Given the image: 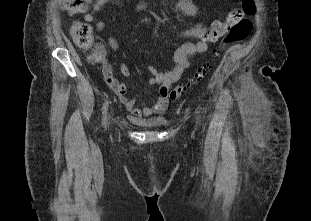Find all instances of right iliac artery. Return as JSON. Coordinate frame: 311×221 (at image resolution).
Instances as JSON below:
<instances>
[{"instance_id":"82829eb1","label":"right iliac artery","mask_w":311,"mask_h":221,"mask_svg":"<svg viewBox=\"0 0 311 221\" xmlns=\"http://www.w3.org/2000/svg\"><path fill=\"white\" fill-rule=\"evenodd\" d=\"M108 103H109L108 100H106L102 108V125L103 126L106 125V121H107Z\"/></svg>"}]
</instances>
